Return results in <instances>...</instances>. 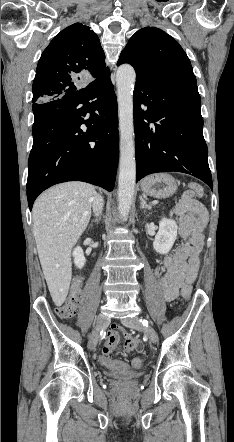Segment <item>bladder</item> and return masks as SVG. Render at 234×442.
Masks as SVG:
<instances>
[{
  "label": "bladder",
  "mask_w": 234,
  "mask_h": 442,
  "mask_svg": "<svg viewBox=\"0 0 234 442\" xmlns=\"http://www.w3.org/2000/svg\"><path fill=\"white\" fill-rule=\"evenodd\" d=\"M109 375L112 378L118 379V380H130V379H135V378L140 377L142 375V373L139 371L130 369V368H126V369L113 370L110 372Z\"/></svg>",
  "instance_id": "bladder-1"
}]
</instances>
